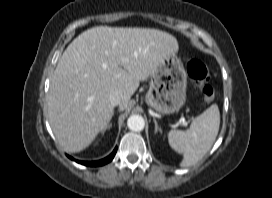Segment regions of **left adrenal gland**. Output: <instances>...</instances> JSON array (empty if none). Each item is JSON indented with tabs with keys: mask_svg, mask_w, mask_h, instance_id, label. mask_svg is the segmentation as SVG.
<instances>
[{
	"mask_svg": "<svg viewBox=\"0 0 272 198\" xmlns=\"http://www.w3.org/2000/svg\"><path fill=\"white\" fill-rule=\"evenodd\" d=\"M154 124H155V134L160 132L162 134V129L158 126V123L155 118H153Z\"/></svg>",
	"mask_w": 272,
	"mask_h": 198,
	"instance_id": "1",
	"label": "left adrenal gland"
}]
</instances>
